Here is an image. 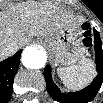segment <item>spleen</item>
<instances>
[{
    "mask_svg": "<svg viewBox=\"0 0 103 103\" xmlns=\"http://www.w3.org/2000/svg\"><path fill=\"white\" fill-rule=\"evenodd\" d=\"M57 73L63 84L73 91L87 86L96 74L92 60L84 58L77 65L58 68Z\"/></svg>",
    "mask_w": 103,
    "mask_h": 103,
    "instance_id": "1",
    "label": "spleen"
}]
</instances>
